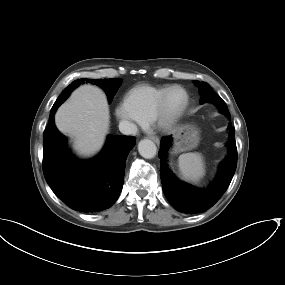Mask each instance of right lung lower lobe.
<instances>
[{
    "label": "right lung lower lobe",
    "mask_w": 285,
    "mask_h": 285,
    "mask_svg": "<svg viewBox=\"0 0 285 285\" xmlns=\"http://www.w3.org/2000/svg\"><path fill=\"white\" fill-rule=\"evenodd\" d=\"M72 91L66 94L69 96ZM63 102L60 100L51 109L43 134L45 179L56 196L76 211L93 213L110 208L122 190L126 158L136 143L135 138L109 135L99 155L86 161L78 160L54 123V114Z\"/></svg>",
    "instance_id": "right-lung-lower-lobe-1"
}]
</instances>
